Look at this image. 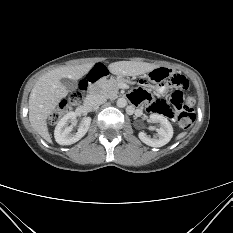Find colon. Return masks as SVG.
<instances>
[{
	"label": "colon",
	"mask_w": 233,
	"mask_h": 233,
	"mask_svg": "<svg viewBox=\"0 0 233 233\" xmlns=\"http://www.w3.org/2000/svg\"><path fill=\"white\" fill-rule=\"evenodd\" d=\"M167 83L177 88L172 94L171 102L153 101L150 104L151 110L174 118L180 128L189 129L195 121V101L192 97L186 96L188 80L182 75L175 74L168 79ZM85 88L82 84L80 90L71 93L67 100L63 101L60 107L50 115L49 122L55 124L65 112L78 105L83 98V89Z\"/></svg>",
	"instance_id": "1"
}]
</instances>
